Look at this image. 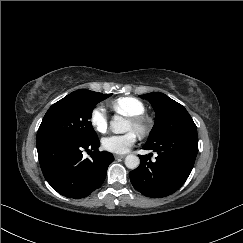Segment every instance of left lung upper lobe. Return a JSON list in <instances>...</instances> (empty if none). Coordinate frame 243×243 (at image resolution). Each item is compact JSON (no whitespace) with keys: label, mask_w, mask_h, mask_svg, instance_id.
Segmentation results:
<instances>
[{"label":"left lung upper lobe","mask_w":243,"mask_h":243,"mask_svg":"<svg viewBox=\"0 0 243 243\" xmlns=\"http://www.w3.org/2000/svg\"><path fill=\"white\" fill-rule=\"evenodd\" d=\"M140 97L149 100L156 111L155 124L146 144L160 143L178 134L197 130L187 110L165 94L152 92Z\"/></svg>","instance_id":"1"}]
</instances>
